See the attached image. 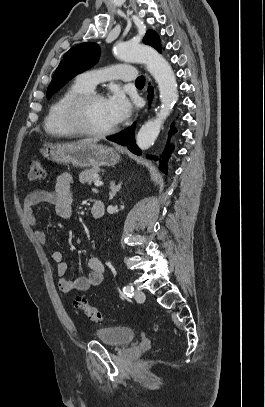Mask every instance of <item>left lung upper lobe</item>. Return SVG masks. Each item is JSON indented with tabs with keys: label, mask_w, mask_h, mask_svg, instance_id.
Returning <instances> with one entry per match:
<instances>
[{
	"label": "left lung upper lobe",
	"mask_w": 265,
	"mask_h": 407,
	"mask_svg": "<svg viewBox=\"0 0 265 407\" xmlns=\"http://www.w3.org/2000/svg\"><path fill=\"white\" fill-rule=\"evenodd\" d=\"M147 45L162 53L159 36L153 30H148L143 39ZM100 56V48L96 43H82L71 48L61 60L53 79L47 89V98L62 88L69 80L94 65Z\"/></svg>",
	"instance_id": "obj_1"
}]
</instances>
